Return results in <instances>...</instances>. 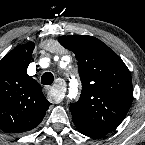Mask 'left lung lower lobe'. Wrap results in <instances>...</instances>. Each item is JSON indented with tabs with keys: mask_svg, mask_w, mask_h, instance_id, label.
<instances>
[{
	"mask_svg": "<svg viewBox=\"0 0 145 145\" xmlns=\"http://www.w3.org/2000/svg\"><path fill=\"white\" fill-rule=\"evenodd\" d=\"M79 130V132H81L82 134L91 137V138H99L104 136L103 134L97 133V132H93V131H89L86 129H81V128H77Z\"/></svg>",
	"mask_w": 145,
	"mask_h": 145,
	"instance_id": "obj_1",
	"label": "left lung lower lobe"
}]
</instances>
